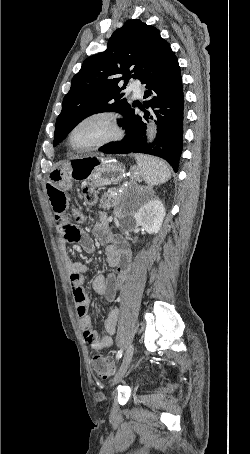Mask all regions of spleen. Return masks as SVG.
Returning <instances> with one entry per match:
<instances>
[{
  "mask_svg": "<svg viewBox=\"0 0 250 454\" xmlns=\"http://www.w3.org/2000/svg\"><path fill=\"white\" fill-rule=\"evenodd\" d=\"M139 173L149 186L160 185L170 179L171 171L168 164L156 157L136 155Z\"/></svg>",
  "mask_w": 250,
  "mask_h": 454,
  "instance_id": "obj_1",
  "label": "spleen"
}]
</instances>
